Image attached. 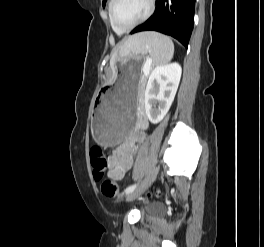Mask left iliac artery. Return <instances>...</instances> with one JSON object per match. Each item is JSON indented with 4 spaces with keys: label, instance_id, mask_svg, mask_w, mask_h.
I'll use <instances>...</instances> for the list:
<instances>
[{
    "label": "left iliac artery",
    "instance_id": "44dca946",
    "mask_svg": "<svg viewBox=\"0 0 264 247\" xmlns=\"http://www.w3.org/2000/svg\"><path fill=\"white\" fill-rule=\"evenodd\" d=\"M138 184H139V183L127 187V188L125 189V193H126V194H129V193L133 192V191L136 189V187L138 186Z\"/></svg>",
    "mask_w": 264,
    "mask_h": 247
}]
</instances>
